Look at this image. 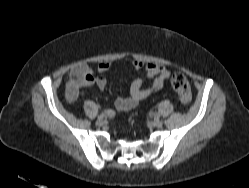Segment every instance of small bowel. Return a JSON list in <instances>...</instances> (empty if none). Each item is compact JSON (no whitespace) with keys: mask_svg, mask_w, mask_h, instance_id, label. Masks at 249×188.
Segmentation results:
<instances>
[{"mask_svg":"<svg viewBox=\"0 0 249 188\" xmlns=\"http://www.w3.org/2000/svg\"><path fill=\"white\" fill-rule=\"evenodd\" d=\"M134 69L145 72V78L153 79L150 86H145V78H135L130 85V93L127 97H121L116 99L115 108L118 111H128L137 107L142 100L147 98L149 95L156 93L163 89L165 82L170 78V70L157 63H143L142 61L136 60L132 63ZM111 67V63L104 61L99 63L97 70L100 74L107 72ZM75 71L79 73V77L76 76ZM71 80L68 86L67 98L69 101L74 100L80 89L91 88L97 86L99 89H105L107 85V79L103 76L94 77L91 70L87 65L81 64L74 67L71 70ZM107 114L112 116L114 112L107 110Z\"/></svg>","mask_w":249,"mask_h":188,"instance_id":"small-bowel-1","label":"small bowel"}]
</instances>
